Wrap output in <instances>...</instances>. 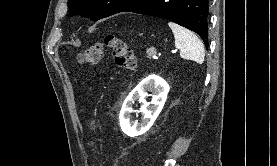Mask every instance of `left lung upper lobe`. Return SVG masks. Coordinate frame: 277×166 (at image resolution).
Here are the masks:
<instances>
[{"label": "left lung upper lobe", "mask_w": 277, "mask_h": 166, "mask_svg": "<svg viewBox=\"0 0 277 166\" xmlns=\"http://www.w3.org/2000/svg\"><path fill=\"white\" fill-rule=\"evenodd\" d=\"M137 0H68L69 14L102 19L119 13Z\"/></svg>", "instance_id": "5c2ea615"}]
</instances>
